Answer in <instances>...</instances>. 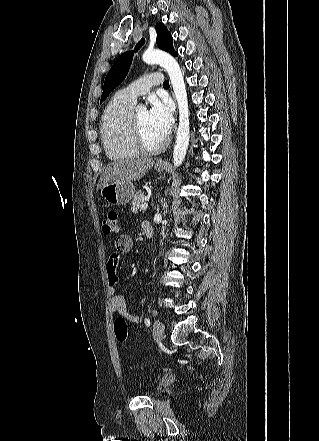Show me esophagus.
<instances>
[{
	"instance_id": "obj_1",
	"label": "esophagus",
	"mask_w": 319,
	"mask_h": 441,
	"mask_svg": "<svg viewBox=\"0 0 319 441\" xmlns=\"http://www.w3.org/2000/svg\"><path fill=\"white\" fill-rule=\"evenodd\" d=\"M157 164H158V165H164L165 163H164L163 160H158V161H157Z\"/></svg>"
}]
</instances>
